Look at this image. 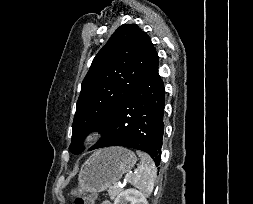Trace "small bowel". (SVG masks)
I'll use <instances>...</instances> for the list:
<instances>
[{
    "mask_svg": "<svg viewBox=\"0 0 253 204\" xmlns=\"http://www.w3.org/2000/svg\"><path fill=\"white\" fill-rule=\"evenodd\" d=\"M100 204H111L110 202H108V201H103L102 203H100Z\"/></svg>",
    "mask_w": 253,
    "mask_h": 204,
    "instance_id": "small-bowel-1",
    "label": "small bowel"
}]
</instances>
